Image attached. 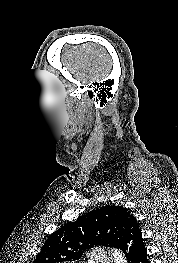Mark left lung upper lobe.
<instances>
[{"mask_svg": "<svg viewBox=\"0 0 178 263\" xmlns=\"http://www.w3.org/2000/svg\"><path fill=\"white\" fill-rule=\"evenodd\" d=\"M131 216L122 206L110 205L86 213L51 234L34 263L76 261L97 245L118 248Z\"/></svg>", "mask_w": 178, "mask_h": 263, "instance_id": "left-lung-upper-lobe-1", "label": "left lung upper lobe"}]
</instances>
